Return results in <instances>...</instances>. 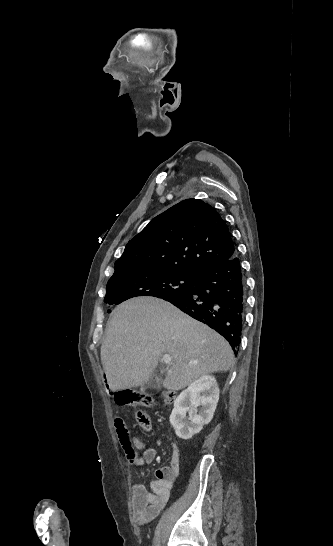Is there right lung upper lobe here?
I'll return each instance as SVG.
<instances>
[{
  "instance_id": "1",
  "label": "right lung upper lobe",
  "mask_w": 333,
  "mask_h": 546,
  "mask_svg": "<svg viewBox=\"0 0 333 546\" xmlns=\"http://www.w3.org/2000/svg\"><path fill=\"white\" fill-rule=\"evenodd\" d=\"M237 254L228 226L218 212L199 199H187L155 217L128 242L114 269L199 276Z\"/></svg>"
}]
</instances>
